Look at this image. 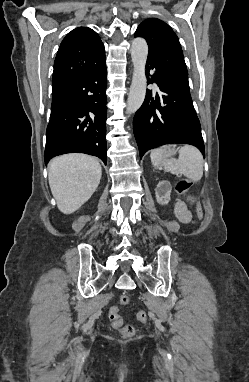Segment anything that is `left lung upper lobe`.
<instances>
[{"label":"left lung upper lobe","mask_w":249,"mask_h":382,"mask_svg":"<svg viewBox=\"0 0 249 382\" xmlns=\"http://www.w3.org/2000/svg\"><path fill=\"white\" fill-rule=\"evenodd\" d=\"M134 36L146 39L148 58L160 69L189 85L181 45L169 25L157 18H149L138 26Z\"/></svg>","instance_id":"1"}]
</instances>
